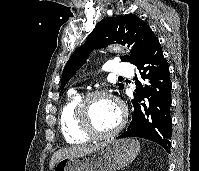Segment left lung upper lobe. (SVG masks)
I'll list each match as a JSON object with an SVG mask.
<instances>
[{
	"label": "left lung upper lobe",
	"instance_id": "5c2ea615",
	"mask_svg": "<svg viewBox=\"0 0 199 171\" xmlns=\"http://www.w3.org/2000/svg\"><path fill=\"white\" fill-rule=\"evenodd\" d=\"M157 40L151 28L136 15L113 16L101 20L89 35L86 43L76 49L68 60L62 75L61 88L86 61L92 49L119 43L131 46L130 56L122 61L136 64L147 49ZM119 87L123 88L122 84Z\"/></svg>",
	"mask_w": 199,
	"mask_h": 171
}]
</instances>
